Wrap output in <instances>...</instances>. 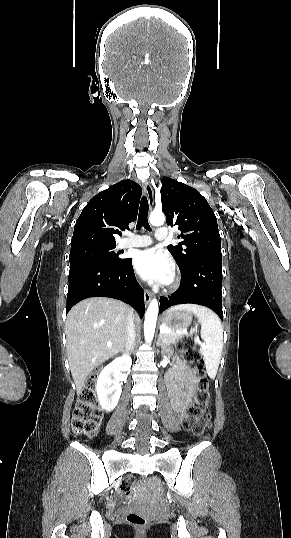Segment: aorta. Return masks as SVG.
I'll return each mask as SVG.
<instances>
[{"mask_svg":"<svg viewBox=\"0 0 291 538\" xmlns=\"http://www.w3.org/2000/svg\"><path fill=\"white\" fill-rule=\"evenodd\" d=\"M149 220L151 224L159 226L164 223L165 217L162 212H152ZM158 309V301L156 299H152L146 311L144 321V338L148 343H151L154 337Z\"/></svg>","mask_w":291,"mask_h":538,"instance_id":"762f6f07","label":"aorta"}]
</instances>
